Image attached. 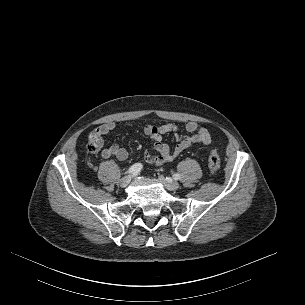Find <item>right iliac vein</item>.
<instances>
[{
  "mask_svg": "<svg viewBox=\"0 0 305 305\" xmlns=\"http://www.w3.org/2000/svg\"><path fill=\"white\" fill-rule=\"evenodd\" d=\"M130 180H131V177H130V176H125V177H123V178L120 180V182H119L120 187H122V188L127 187V185L129 184Z\"/></svg>",
  "mask_w": 305,
  "mask_h": 305,
  "instance_id": "obj_1",
  "label": "right iliac vein"
}]
</instances>
